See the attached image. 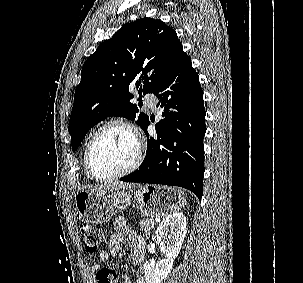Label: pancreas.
<instances>
[{
    "mask_svg": "<svg viewBox=\"0 0 303 283\" xmlns=\"http://www.w3.org/2000/svg\"><path fill=\"white\" fill-rule=\"evenodd\" d=\"M140 227L147 235H149L151 229L154 228V220L152 218L143 219L140 221Z\"/></svg>",
    "mask_w": 303,
    "mask_h": 283,
    "instance_id": "cf45deb5",
    "label": "pancreas"
}]
</instances>
